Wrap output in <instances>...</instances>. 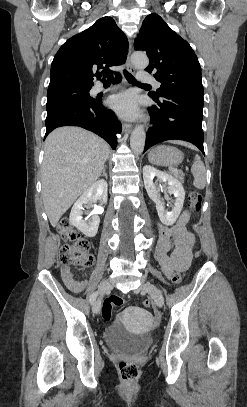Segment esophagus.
Here are the masks:
<instances>
[{"label": "esophagus", "mask_w": 247, "mask_h": 407, "mask_svg": "<svg viewBox=\"0 0 247 407\" xmlns=\"http://www.w3.org/2000/svg\"><path fill=\"white\" fill-rule=\"evenodd\" d=\"M130 54H131V42L129 40V48H128V55H127V59H126V66L129 72L134 73L135 72V68L133 67L131 60H130ZM122 128L124 132H128L130 133L132 131V125L129 123H123L122 124Z\"/></svg>", "instance_id": "1"}]
</instances>
